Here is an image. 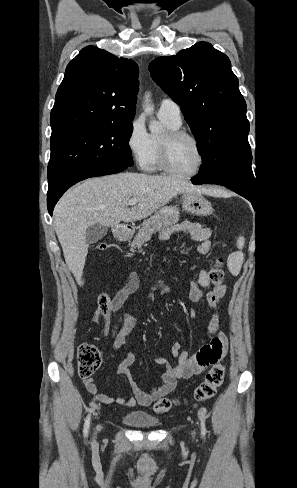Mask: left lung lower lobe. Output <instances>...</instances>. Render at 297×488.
Segmentation results:
<instances>
[{
    "label": "left lung lower lobe",
    "mask_w": 297,
    "mask_h": 488,
    "mask_svg": "<svg viewBox=\"0 0 297 488\" xmlns=\"http://www.w3.org/2000/svg\"><path fill=\"white\" fill-rule=\"evenodd\" d=\"M192 182L194 184H218L223 185L237 194L243 196L247 200L251 201V203L255 202V189L242 184L241 182L230 180V179H218V180H211V181H201L196 176L192 178Z\"/></svg>",
    "instance_id": "1"
}]
</instances>
